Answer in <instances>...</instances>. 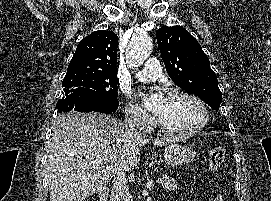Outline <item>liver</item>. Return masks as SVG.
Returning <instances> with one entry per match:
<instances>
[{
    "label": "liver",
    "mask_w": 271,
    "mask_h": 201,
    "mask_svg": "<svg viewBox=\"0 0 271 201\" xmlns=\"http://www.w3.org/2000/svg\"><path fill=\"white\" fill-rule=\"evenodd\" d=\"M174 141L129 135L124 124L110 115L60 114L47 145L50 201H82L106 189L118 173L133 169L140 160L139 147L151 142L165 146ZM97 158L107 163L97 164Z\"/></svg>",
    "instance_id": "obj_1"
}]
</instances>
